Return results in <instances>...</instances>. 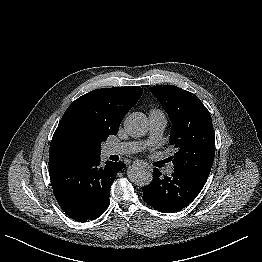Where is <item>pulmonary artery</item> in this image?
<instances>
[{"instance_id":"pulmonary-artery-1","label":"pulmonary artery","mask_w":262,"mask_h":262,"mask_svg":"<svg viewBox=\"0 0 262 262\" xmlns=\"http://www.w3.org/2000/svg\"><path fill=\"white\" fill-rule=\"evenodd\" d=\"M149 124H150V141L156 142L161 135L167 125L166 116L159 113H150L149 114ZM144 147L141 143L136 142H128V143H118L111 144L106 148V153L108 155L112 154H132L140 151ZM174 169L172 166H169L166 169V173L171 175Z\"/></svg>"}]
</instances>
